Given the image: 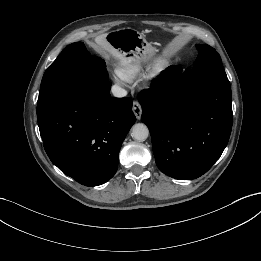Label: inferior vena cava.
<instances>
[{"instance_id":"602c4592","label":"inferior vena cava","mask_w":261,"mask_h":261,"mask_svg":"<svg viewBox=\"0 0 261 261\" xmlns=\"http://www.w3.org/2000/svg\"><path fill=\"white\" fill-rule=\"evenodd\" d=\"M111 91L115 97L120 98V97H125L127 95V91L118 85L112 86Z\"/></svg>"}]
</instances>
